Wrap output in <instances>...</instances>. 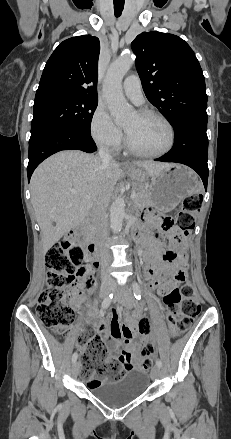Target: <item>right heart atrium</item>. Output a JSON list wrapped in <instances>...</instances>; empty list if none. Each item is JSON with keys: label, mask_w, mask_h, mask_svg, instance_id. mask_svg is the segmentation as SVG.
Here are the masks:
<instances>
[{"label": "right heart atrium", "mask_w": 231, "mask_h": 439, "mask_svg": "<svg viewBox=\"0 0 231 439\" xmlns=\"http://www.w3.org/2000/svg\"><path fill=\"white\" fill-rule=\"evenodd\" d=\"M90 134L100 147L117 150L123 142L122 130L113 122L106 108L98 105L90 121Z\"/></svg>", "instance_id": "d8ad5b80"}]
</instances>
